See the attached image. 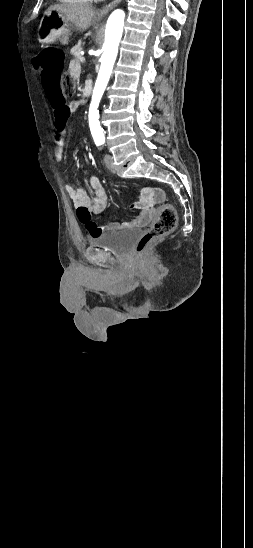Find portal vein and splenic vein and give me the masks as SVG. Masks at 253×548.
I'll return each mask as SVG.
<instances>
[{
    "mask_svg": "<svg viewBox=\"0 0 253 548\" xmlns=\"http://www.w3.org/2000/svg\"><path fill=\"white\" fill-rule=\"evenodd\" d=\"M80 61L81 62H84L85 61V58L83 56L80 57Z\"/></svg>",
    "mask_w": 253,
    "mask_h": 548,
    "instance_id": "1",
    "label": "portal vein and splenic vein"
}]
</instances>
